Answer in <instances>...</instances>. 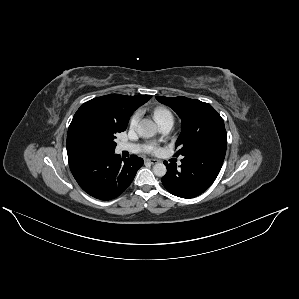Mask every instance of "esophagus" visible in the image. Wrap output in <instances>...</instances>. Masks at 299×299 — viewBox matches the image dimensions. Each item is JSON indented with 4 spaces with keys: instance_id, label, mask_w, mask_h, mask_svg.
Here are the masks:
<instances>
[{
    "instance_id": "1",
    "label": "esophagus",
    "mask_w": 299,
    "mask_h": 299,
    "mask_svg": "<svg viewBox=\"0 0 299 299\" xmlns=\"http://www.w3.org/2000/svg\"><path fill=\"white\" fill-rule=\"evenodd\" d=\"M145 162L146 163H150V164H156L158 163L159 161L157 159H145Z\"/></svg>"
}]
</instances>
